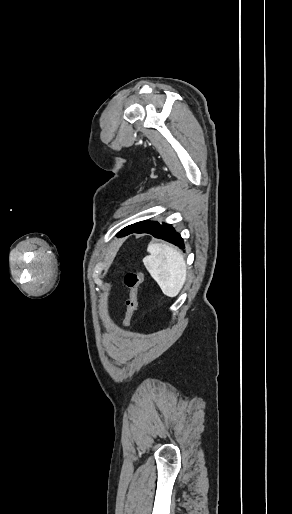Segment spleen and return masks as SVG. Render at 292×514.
I'll use <instances>...</instances> for the list:
<instances>
[{
    "label": "spleen",
    "instance_id": "obj_1",
    "mask_svg": "<svg viewBox=\"0 0 292 514\" xmlns=\"http://www.w3.org/2000/svg\"><path fill=\"white\" fill-rule=\"evenodd\" d=\"M148 252L150 256H146L143 260L147 272L157 282L165 296L169 298L178 296L186 282L187 274L181 252L167 244H150Z\"/></svg>",
    "mask_w": 292,
    "mask_h": 514
}]
</instances>
